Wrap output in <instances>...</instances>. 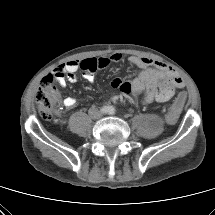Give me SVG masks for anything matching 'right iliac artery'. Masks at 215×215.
<instances>
[{"mask_svg":"<svg viewBox=\"0 0 215 215\" xmlns=\"http://www.w3.org/2000/svg\"><path fill=\"white\" fill-rule=\"evenodd\" d=\"M100 111H101V113H103V114H104V113H107V112H108V107H102Z\"/></svg>","mask_w":215,"mask_h":215,"instance_id":"obj_1","label":"right iliac artery"}]
</instances>
